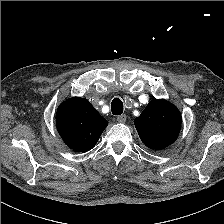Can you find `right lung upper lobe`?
Instances as JSON below:
<instances>
[{
  "instance_id": "obj_1",
  "label": "right lung upper lobe",
  "mask_w": 224,
  "mask_h": 224,
  "mask_svg": "<svg viewBox=\"0 0 224 224\" xmlns=\"http://www.w3.org/2000/svg\"><path fill=\"white\" fill-rule=\"evenodd\" d=\"M108 122L85 98L73 97L58 107L56 126L65 144L77 152L91 150Z\"/></svg>"
}]
</instances>
